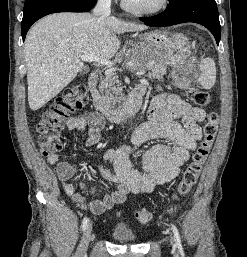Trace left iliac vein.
<instances>
[{
    "instance_id": "left-iliac-vein-1",
    "label": "left iliac vein",
    "mask_w": 247,
    "mask_h": 257,
    "mask_svg": "<svg viewBox=\"0 0 247 257\" xmlns=\"http://www.w3.org/2000/svg\"><path fill=\"white\" fill-rule=\"evenodd\" d=\"M170 243L172 246H174V238L172 236H170Z\"/></svg>"
}]
</instances>
